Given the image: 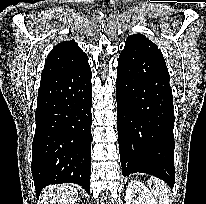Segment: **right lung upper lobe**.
Masks as SVG:
<instances>
[{"label":"right lung upper lobe","mask_w":206,"mask_h":204,"mask_svg":"<svg viewBox=\"0 0 206 204\" xmlns=\"http://www.w3.org/2000/svg\"><path fill=\"white\" fill-rule=\"evenodd\" d=\"M87 59L86 53L73 40L59 43L48 54L41 78L68 70Z\"/></svg>","instance_id":"obj_1"}]
</instances>
